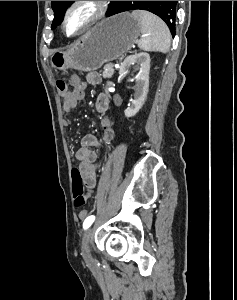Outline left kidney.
Masks as SVG:
<instances>
[{
	"mask_svg": "<svg viewBox=\"0 0 237 300\" xmlns=\"http://www.w3.org/2000/svg\"><path fill=\"white\" fill-rule=\"evenodd\" d=\"M135 63H137L136 71H139V73L133 87L135 91L134 99L132 105L124 111L125 117H134L142 109L148 95L150 71V57L148 53H135V55L126 57L120 67L119 75H123Z\"/></svg>",
	"mask_w": 237,
	"mask_h": 300,
	"instance_id": "left-kidney-1",
	"label": "left kidney"
}]
</instances>
